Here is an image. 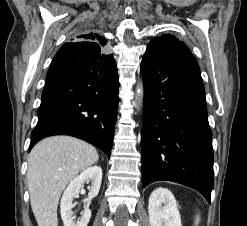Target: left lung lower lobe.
Returning a JSON list of instances; mask_svg holds the SVG:
<instances>
[{
  "instance_id": "1",
  "label": "left lung lower lobe",
  "mask_w": 247,
  "mask_h": 226,
  "mask_svg": "<svg viewBox=\"0 0 247 226\" xmlns=\"http://www.w3.org/2000/svg\"><path fill=\"white\" fill-rule=\"evenodd\" d=\"M141 74L143 187L154 181H173L196 189L210 203L214 186L212 133L194 55L147 49Z\"/></svg>"
}]
</instances>
